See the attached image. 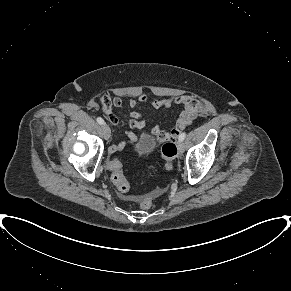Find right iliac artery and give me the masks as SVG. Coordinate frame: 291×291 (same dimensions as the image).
<instances>
[{
    "label": "right iliac artery",
    "instance_id": "right-iliac-artery-1",
    "mask_svg": "<svg viewBox=\"0 0 291 291\" xmlns=\"http://www.w3.org/2000/svg\"><path fill=\"white\" fill-rule=\"evenodd\" d=\"M96 121L100 124V125H103L104 124V120L101 118V117H98L96 119Z\"/></svg>",
    "mask_w": 291,
    "mask_h": 291
}]
</instances>
